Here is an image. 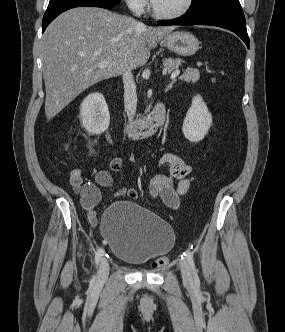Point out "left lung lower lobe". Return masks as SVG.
Here are the masks:
<instances>
[{
  "label": "left lung lower lobe",
  "mask_w": 285,
  "mask_h": 332,
  "mask_svg": "<svg viewBox=\"0 0 285 332\" xmlns=\"http://www.w3.org/2000/svg\"><path fill=\"white\" fill-rule=\"evenodd\" d=\"M159 25H212L236 33L249 48L246 21L240 3H225L203 10L187 12L175 20H162Z\"/></svg>",
  "instance_id": "obj_1"
}]
</instances>
